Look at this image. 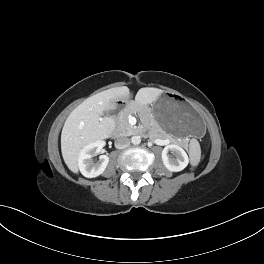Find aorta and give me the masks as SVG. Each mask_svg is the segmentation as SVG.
Instances as JSON below:
<instances>
[{
    "mask_svg": "<svg viewBox=\"0 0 264 264\" xmlns=\"http://www.w3.org/2000/svg\"><path fill=\"white\" fill-rule=\"evenodd\" d=\"M141 142V137L140 136H132L131 137V143L134 145H138Z\"/></svg>",
    "mask_w": 264,
    "mask_h": 264,
    "instance_id": "1",
    "label": "aorta"
}]
</instances>
